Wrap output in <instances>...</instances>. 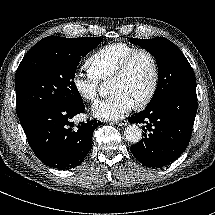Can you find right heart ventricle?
Segmentation results:
<instances>
[{
  "mask_svg": "<svg viewBox=\"0 0 215 215\" xmlns=\"http://www.w3.org/2000/svg\"><path fill=\"white\" fill-rule=\"evenodd\" d=\"M135 46L126 42L106 44L93 52L85 61L89 74L98 80L109 78L122 58L133 51Z\"/></svg>",
  "mask_w": 215,
  "mask_h": 215,
  "instance_id": "right-heart-ventricle-1",
  "label": "right heart ventricle"
}]
</instances>
